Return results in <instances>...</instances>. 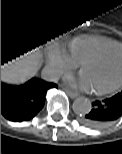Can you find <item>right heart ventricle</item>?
Returning <instances> with one entry per match:
<instances>
[{"label": "right heart ventricle", "mask_w": 122, "mask_h": 154, "mask_svg": "<svg viewBox=\"0 0 122 154\" xmlns=\"http://www.w3.org/2000/svg\"><path fill=\"white\" fill-rule=\"evenodd\" d=\"M115 44L116 42L109 38L101 36H84L69 41L66 45V49L70 55L80 63L86 56Z\"/></svg>", "instance_id": "obj_1"}]
</instances>
